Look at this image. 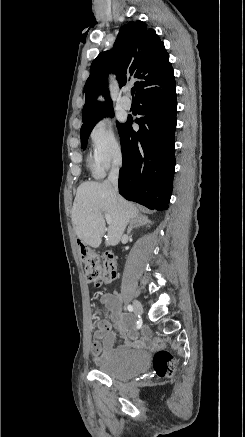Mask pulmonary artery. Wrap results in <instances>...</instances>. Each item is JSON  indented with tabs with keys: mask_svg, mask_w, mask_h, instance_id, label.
I'll list each match as a JSON object with an SVG mask.
<instances>
[{
	"mask_svg": "<svg viewBox=\"0 0 245 437\" xmlns=\"http://www.w3.org/2000/svg\"><path fill=\"white\" fill-rule=\"evenodd\" d=\"M129 90L128 88L124 89V96L120 99V105L123 109L129 110L131 108V100L128 98Z\"/></svg>",
	"mask_w": 245,
	"mask_h": 437,
	"instance_id": "e3ab8cb5",
	"label": "pulmonary artery"
}]
</instances>
